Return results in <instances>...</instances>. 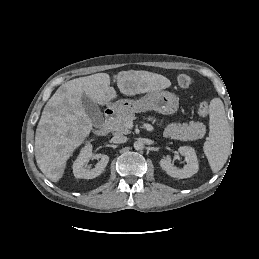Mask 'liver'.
<instances>
[{
    "mask_svg": "<svg viewBox=\"0 0 259 259\" xmlns=\"http://www.w3.org/2000/svg\"><path fill=\"white\" fill-rule=\"evenodd\" d=\"M117 86L122 94L133 96L168 88L171 82L160 74L129 70L118 73ZM83 94L107 106L117 97L109 74L97 73L66 82L48 100L36 129L34 150L39 169L52 182L62 178L67 160L92 130Z\"/></svg>",
    "mask_w": 259,
    "mask_h": 259,
    "instance_id": "6515ba94",
    "label": "liver"
}]
</instances>
